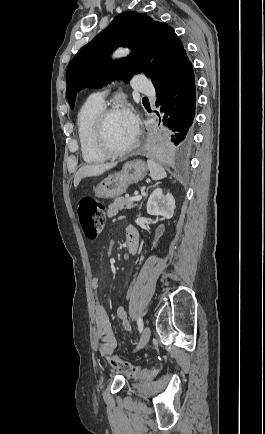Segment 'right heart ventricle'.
Listing matches in <instances>:
<instances>
[{"mask_svg": "<svg viewBox=\"0 0 265 434\" xmlns=\"http://www.w3.org/2000/svg\"><path fill=\"white\" fill-rule=\"evenodd\" d=\"M87 99L79 108L76 116L77 138L84 163L99 165L107 160L97 142V119L104 110L102 101Z\"/></svg>", "mask_w": 265, "mask_h": 434, "instance_id": "1", "label": "right heart ventricle"}]
</instances>
